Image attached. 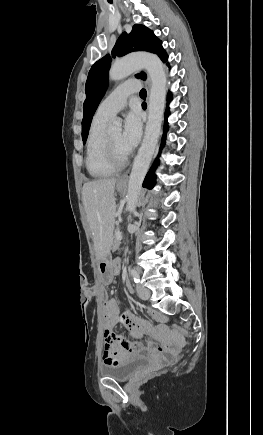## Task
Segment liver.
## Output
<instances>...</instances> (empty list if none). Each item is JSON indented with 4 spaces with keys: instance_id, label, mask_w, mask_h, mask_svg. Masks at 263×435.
<instances>
[{
    "instance_id": "1",
    "label": "liver",
    "mask_w": 263,
    "mask_h": 435,
    "mask_svg": "<svg viewBox=\"0 0 263 435\" xmlns=\"http://www.w3.org/2000/svg\"><path fill=\"white\" fill-rule=\"evenodd\" d=\"M115 184V178L99 179L85 183L82 189V201L98 259L108 253L113 239Z\"/></svg>"
}]
</instances>
